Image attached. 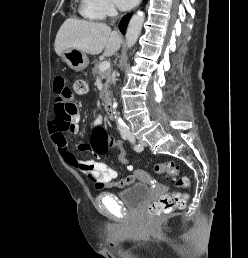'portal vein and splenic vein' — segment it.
Instances as JSON below:
<instances>
[{
	"mask_svg": "<svg viewBox=\"0 0 248 258\" xmlns=\"http://www.w3.org/2000/svg\"><path fill=\"white\" fill-rule=\"evenodd\" d=\"M110 68V62L109 61H103L101 64H100V71L101 72H104L106 70H108Z\"/></svg>",
	"mask_w": 248,
	"mask_h": 258,
	"instance_id": "obj_1",
	"label": "portal vein and splenic vein"
}]
</instances>
